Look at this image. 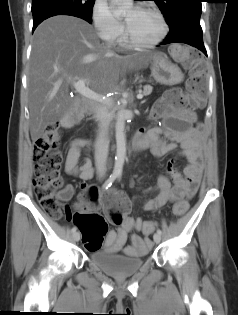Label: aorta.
<instances>
[{
	"label": "aorta",
	"mask_w": 238,
	"mask_h": 315,
	"mask_svg": "<svg viewBox=\"0 0 238 315\" xmlns=\"http://www.w3.org/2000/svg\"><path fill=\"white\" fill-rule=\"evenodd\" d=\"M132 6L131 0H122V3L117 9L118 13L127 12ZM125 116L123 110L119 112L117 121H116V156H115V165H114V174L120 175L123 170V165L126 156V136H125Z\"/></svg>",
	"instance_id": "1"
}]
</instances>
